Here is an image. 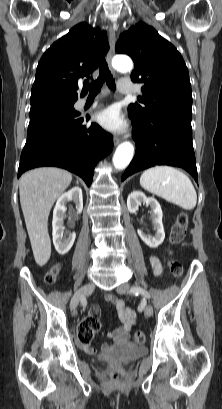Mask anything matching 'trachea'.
Returning <instances> with one entry per match:
<instances>
[{
    "instance_id": "trachea-1",
    "label": "trachea",
    "mask_w": 222,
    "mask_h": 409,
    "mask_svg": "<svg viewBox=\"0 0 222 409\" xmlns=\"http://www.w3.org/2000/svg\"><path fill=\"white\" fill-rule=\"evenodd\" d=\"M99 72L100 75L96 81H94L91 84H85L86 88L89 90L90 95L98 94L105 80L107 86L111 90H115V81L113 79L111 72L109 71V68L105 60H102Z\"/></svg>"
}]
</instances>
